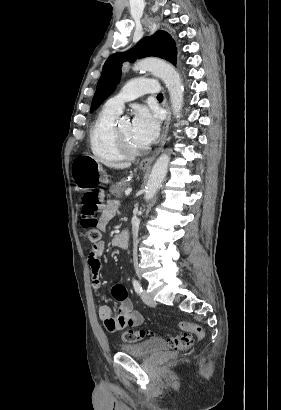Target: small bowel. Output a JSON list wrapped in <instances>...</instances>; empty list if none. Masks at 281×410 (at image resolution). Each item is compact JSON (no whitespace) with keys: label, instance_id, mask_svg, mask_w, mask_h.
I'll list each match as a JSON object with an SVG mask.
<instances>
[{"label":"small bowel","instance_id":"c3829d8e","mask_svg":"<svg viewBox=\"0 0 281 410\" xmlns=\"http://www.w3.org/2000/svg\"><path fill=\"white\" fill-rule=\"evenodd\" d=\"M117 209V201H109L102 204L101 216L98 223V228L100 230H105L108 221L113 217ZM104 249L105 244L103 241H100L93 244L88 251V265L92 278V287L99 297L102 296L100 257L103 254ZM111 295L116 301L120 302L117 313L107 305L100 306L98 310L99 318L103 321L109 332H116L127 326L139 325L143 322V316L139 312L133 310L128 291L123 284L118 282L114 283L111 286Z\"/></svg>","mask_w":281,"mask_h":410}]
</instances>
